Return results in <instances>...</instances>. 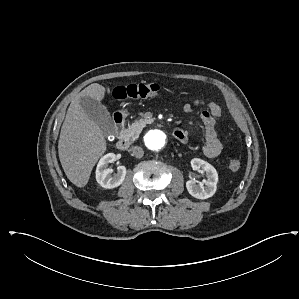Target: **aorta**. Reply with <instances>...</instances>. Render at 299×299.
Listing matches in <instances>:
<instances>
[{
	"label": "aorta",
	"instance_id": "762f6f07",
	"mask_svg": "<svg viewBox=\"0 0 299 299\" xmlns=\"http://www.w3.org/2000/svg\"><path fill=\"white\" fill-rule=\"evenodd\" d=\"M144 141L148 149L152 151H161L167 144V136L163 131L153 129L147 132Z\"/></svg>",
	"mask_w": 299,
	"mask_h": 299
}]
</instances>
